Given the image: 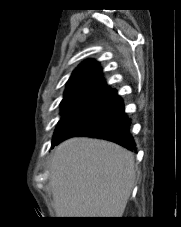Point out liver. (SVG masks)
<instances>
[{
    "instance_id": "1",
    "label": "liver",
    "mask_w": 181,
    "mask_h": 227,
    "mask_svg": "<svg viewBox=\"0 0 181 227\" xmlns=\"http://www.w3.org/2000/svg\"><path fill=\"white\" fill-rule=\"evenodd\" d=\"M49 170L57 217H122L135 182L133 153L92 138L62 142Z\"/></svg>"
}]
</instances>
